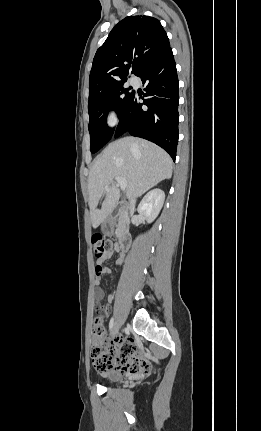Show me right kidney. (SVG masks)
<instances>
[{
  "label": "right kidney",
  "mask_w": 261,
  "mask_h": 431,
  "mask_svg": "<svg viewBox=\"0 0 261 431\" xmlns=\"http://www.w3.org/2000/svg\"><path fill=\"white\" fill-rule=\"evenodd\" d=\"M164 200V191L159 188L153 189L148 192L140 202L138 212L147 220L148 223H151L160 213Z\"/></svg>",
  "instance_id": "right-kidney-1"
}]
</instances>
